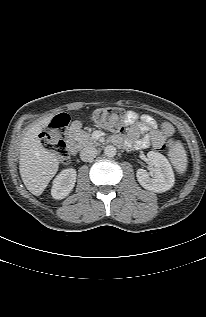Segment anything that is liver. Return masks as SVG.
<instances>
[{
  "label": "liver",
  "instance_id": "6515ba94",
  "mask_svg": "<svg viewBox=\"0 0 206 317\" xmlns=\"http://www.w3.org/2000/svg\"><path fill=\"white\" fill-rule=\"evenodd\" d=\"M52 118L46 117L33 125L25 133L20 147V175L26 188L35 196L43 193L59 168L57 156L46 150L39 139V134Z\"/></svg>",
  "mask_w": 206,
  "mask_h": 317
}]
</instances>
